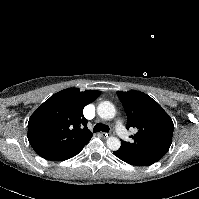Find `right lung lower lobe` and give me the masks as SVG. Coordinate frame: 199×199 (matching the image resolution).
Wrapping results in <instances>:
<instances>
[{"mask_svg":"<svg viewBox=\"0 0 199 199\" xmlns=\"http://www.w3.org/2000/svg\"><path fill=\"white\" fill-rule=\"evenodd\" d=\"M90 141L86 140L83 141L75 146H73L72 148L65 150L63 152L57 153V154H52V155H45V156H41L47 160H51V161H63V160H67L75 155H77L78 153H80L82 151V149L84 148V146Z\"/></svg>","mask_w":199,"mask_h":199,"instance_id":"1","label":"right lung lower lobe"}]
</instances>
